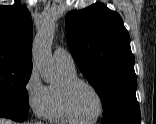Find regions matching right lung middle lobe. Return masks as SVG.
I'll use <instances>...</instances> for the list:
<instances>
[{"instance_id":"1","label":"right lung middle lobe","mask_w":156,"mask_h":124,"mask_svg":"<svg viewBox=\"0 0 156 124\" xmlns=\"http://www.w3.org/2000/svg\"><path fill=\"white\" fill-rule=\"evenodd\" d=\"M32 67L0 63V101L29 106L26 84Z\"/></svg>"}]
</instances>
